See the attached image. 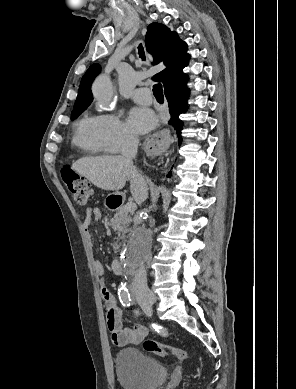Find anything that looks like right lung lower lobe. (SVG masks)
Here are the masks:
<instances>
[{
	"mask_svg": "<svg viewBox=\"0 0 296 389\" xmlns=\"http://www.w3.org/2000/svg\"><path fill=\"white\" fill-rule=\"evenodd\" d=\"M187 79L183 78H175L170 81L164 87V93L169 103V111L171 114V119L169 120V124H171L176 130V134L178 136L179 143H181V130H182V121L179 116L182 113H185L188 109L187 99L189 96L188 88L185 86ZM171 176V172L167 175V177Z\"/></svg>",
	"mask_w": 296,
	"mask_h": 389,
	"instance_id": "right-lung-lower-lobe-1",
	"label": "right lung lower lobe"
}]
</instances>
